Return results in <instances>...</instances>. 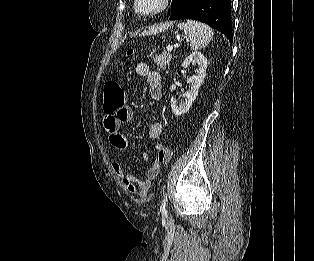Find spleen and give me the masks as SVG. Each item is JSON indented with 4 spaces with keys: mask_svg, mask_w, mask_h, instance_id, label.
<instances>
[{
    "mask_svg": "<svg viewBox=\"0 0 314 261\" xmlns=\"http://www.w3.org/2000/svg\"><path fill=\"white\" fill-rule=\"evenodd\" d=\"M178 28L183 30L190 39V47L196 51L206 47L213 38V30L206 24L188 20L184 23H179Z\"/></svg>",
    "mask_w": 314,
    "mask_h": 261,
    "instance_id": "obj_1",
    "label": "spleen"
}]
</instances>
